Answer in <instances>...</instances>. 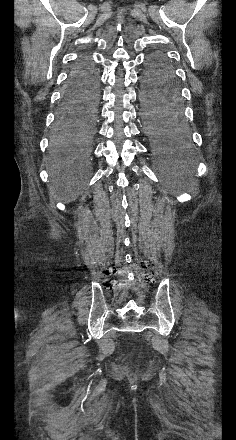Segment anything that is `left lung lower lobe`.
Here are the masks:
<instances>
[{
    "label": "left lung lower lobe",
    "instance_id": "obj_1",
    "mask_svg": "<svg viewBox=\"0 0 236 440\" xmlns=\"http://www.w3.org/2000/svg\"><path fill=\"white\" fill-rule=\"evenodd\" d=\"M141 102L144 132L156 144L169 146L186 139L180 86L162 54L152 62L147 61Z\"/></svg>",
    "mask_w": 236,
    "mask_h": 440
}]
</instances>
